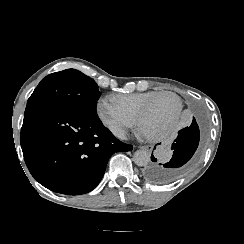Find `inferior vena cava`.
<instances>
[{
  "label": "inferior vena cava",
  "instance_id": "obj_1",
  "mask_svg": "<svg viewBox=\"0 0 244 244\" xmlns=\"http://www.w3.org/2000/svg\"><path fill=\"white\" fill-rule=\"evenodd\" d=\"M115 136H117L119 139L126 140V134L125 131L122 129H117L113 132Z\"/></svg>",
  "mask_w": 244,
  "mask_h": 244
}]
</instances>
